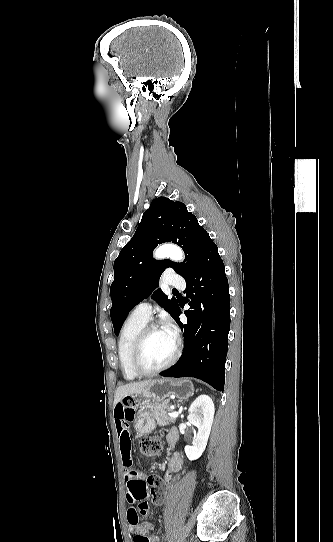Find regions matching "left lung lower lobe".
Instances as JSON below:
<instances>
[{
	"label": "left lung lower lobe",
	"instance_id": "1",
	"mask_svg": "<svg viewBox=\"0 0 333 542\" xmlns=\"http://www.w3.org/2000/svg\"><path fill=\"white\" fill-rule=\"evenodd\" d=\"M184 279L187 284L185 303L191 309L185 311L188 324L184 325L179 320L180 302L175 317L183 332L184 349L178 362L160 375L195 377L223 391L230 330V296L225 267L212 239L206 243L196 268Z\"/></svg>",
	"mask_w": 333,
	"mask_h": 542
}]
</instances>
